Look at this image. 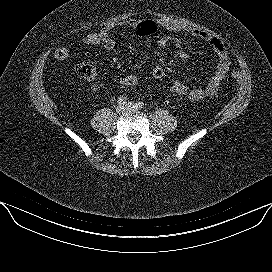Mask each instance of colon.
Instances as JSON below:
<instances>
[{
  "label": "colon",
  "instance_id": "obj_1",
  "mask_svg": "<svg viewBox=\"0 0 272 272\" xmlns=\"http://www.w3.org/2000/svg\"><path fill=\"white\" fill-rule=\"evenodd\" d=\"M156 28L155 22L146 21L138 26V33L140 35H150L156 31ZM116 44L112 35L99 30L81 35L71 45L56 48L53 55L57 60H65L77 51L93 47L114 49ZM75 73L81 79L91 80L96 74V68L92 63L82 62L76 66ZM165 75V68L161 65H157L142 74H133L121 78L119 80V85L123 88L135 87L143 83L161 80ZM231 77L233 80L238 81L240 79V74L237 71H233Z\"/></svg>",
  "mask_w": 272,
  "mask_h": 272
}]
</instances>
